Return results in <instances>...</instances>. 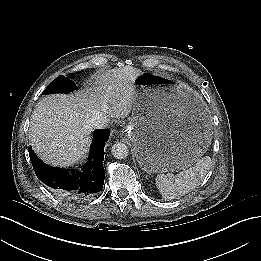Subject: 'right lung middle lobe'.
Instances as JSON below:
<instances>
[{"label":"right lung middle lobe","mask_w":261,"mask_h":261,"mask_svg":"<svg viewBox=\"0 0 261 261\" xmlns=\"http://www.w3.org/2000/svg\"><path fill=\"white\" fill-rule=\"evenodd\" d=\"M73 76H70L72 78ZM76 88L75 83L64 75L56 78L44 91V94L66 93Z\"/></svg>","instance_id":"obj_1"}]
</instances>
